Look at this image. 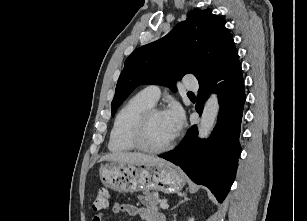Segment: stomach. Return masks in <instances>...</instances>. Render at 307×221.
Listing matches in <instances>:
<instances>
[{
    "label": "stomach",
    "mask_w": 307,
    "mask_h": 221,
    "mask_svg": "<svg viewBox=\"0 0 307 221\" xmlns=\"http://www.w3.org/2000/svg\"><path fill=\"white\" fill-rule=\"evenodd\" d=\"M103 185L118 192L161 190L178 192L185 185L183 173L173 164L163 161L146 164L111 162L99 170Z\"/></svg>",
    "instance_id": "0dacf381"
}]
</instances>
